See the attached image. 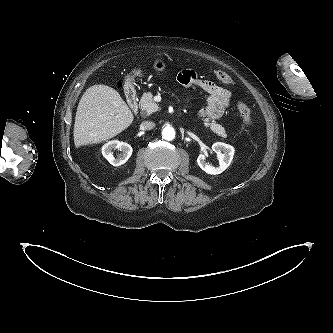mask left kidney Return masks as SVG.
<instances>
[{
    "label": "left kidney",
    "instance_id": "obj_1",
    "mask_svg": "<svg viewBox=\"0 0 333 333\" xmlns=\"http://www.w3.org/2000/svg\"><path fill=\"white\" fill-rule=\"evenodd\" d=\"M212 151L216 153L219 166L213 167L206 162V154H200L197 158L199 167L207 174L217 175L222 173L231 164L234 156V148L229 144L216 142L212 145Z\"/></svg>",
    "mask_w": 333,
    "mask_h": 333
}]
</instances>
